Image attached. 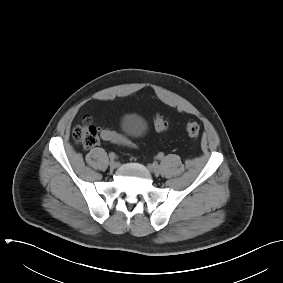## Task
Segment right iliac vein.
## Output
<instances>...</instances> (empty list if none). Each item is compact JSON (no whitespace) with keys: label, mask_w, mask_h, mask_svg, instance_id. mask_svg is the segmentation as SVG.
<instances>
[{"label":"right iliac vein","mask_w":283,"mask_h":283,"mask_svg":"<svg viewBox=\"0 0 283 283\" xmlns=\"http://www.w3.org/2000/svg\"><path fill=\"white\" fill-rule=\"evenodd\" d=\"M117 167V163L114 160L110 161V169L114 170Z\"/></svg>","instance_id":"63e3f726"}]
</instances>
